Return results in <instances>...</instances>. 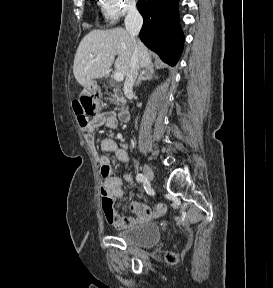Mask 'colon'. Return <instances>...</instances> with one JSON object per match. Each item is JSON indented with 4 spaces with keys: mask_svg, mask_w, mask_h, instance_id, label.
Instances as JSON below:
<instances>
[{
    "mask_svg": "<svg viewBox=\"0 0 273 288\" xmlns=\"http://www.w3.org/2000/svg\"><path fill=\"white\" fill-rule=\"evenodd\" d=\"M101 109V102L97 96L81 95L73 101V110L78 123L82 128H86L90 123V116L96 115ZM167 259L171 263L177 261V256L170 253Z\"/></svg>",
    "mask_w": 273,
    "mask_h": 288,
    "instance_id": "colon-1",
    "label": "colon"
}]
</instances>
